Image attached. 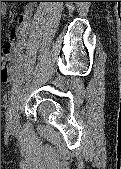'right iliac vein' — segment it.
<instances>
[{"instance_id":"right-iliac-vein-1","label":"right iliac vein","mask_w":121,"mask_h":169,"mask_svg":"<svg viewBox=\"0 0 121 169\" xmlns=\"http://www.w3.org/2000/svg\"><path fill=\"white\" fill-rule=\"evenodd\" d=\"M21 98V89L11 99V106L7 112L8 125L11 129H16L18 126V109Z\"/></svg>"}]
</instances>
